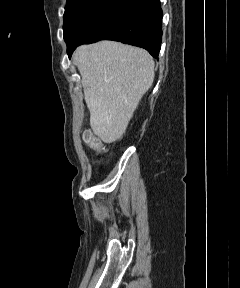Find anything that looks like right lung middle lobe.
I'll return each mask as SVG.
<instances>
[{"label":"right lung middle lobe","mask_w":240,"mask_h":288,"mask_svg":"<svg viewBox=\"0 0 240 288\" xmlns=\"http://www.w3.org/2000/svg\"><path fill=\"white\" fill-rule=\"evenodd\" d=\"M117 0H68L64 13V39L67 47L78 44L86 32Z\"/></svg>","instance_id":"dd1d6c3e"}]
</instances>
